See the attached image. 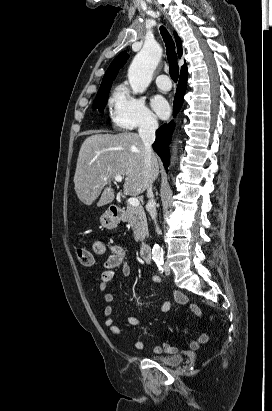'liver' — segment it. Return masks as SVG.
<instances>
[{
    "mask_svg": "<svg viewBox=\"0 0 272 411\" xmlns=\"http://www.w3.org/2000/svg\"><path fill=\"white\" fill-rule=\"evenodd\" d=\"M144 157L143 142L136 133L89 136L80 148L74 175V189L79 200L89 206L101 195L98 207L111 203L115 197L111 188L115 175L125 176V195L143 193L159 168L153 155L152 171L147 172ZM104 176L108 177L106 181Z\"/></svg>",
    "mask_w": 272,
    "mask_h": 411,
    "instance_id": "liver-1",
    "label": "liver"
}]
</instances>
